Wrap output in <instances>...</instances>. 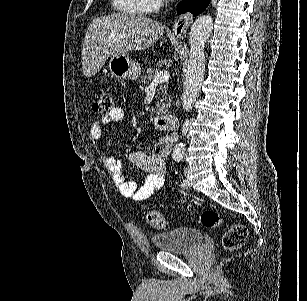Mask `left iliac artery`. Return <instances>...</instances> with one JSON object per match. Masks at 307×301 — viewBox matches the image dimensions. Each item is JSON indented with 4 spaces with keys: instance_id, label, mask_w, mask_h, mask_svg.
Instances as JSON below:
<instances>
[{
    "instance_id": "left-iliac-artery-1",
    "label": "left iliac artery",
    "mask_w": 307,
    "mask_h": 301,
    "mask_svg": "<svg viewBox=\"0 0 307 301\" xmlns=\"http://www.w3.org/2000/svg\"><path fill=\"white\" fill-rule=\"evenodd\" d=\"M178 162L181 160L180 158H177L176 159ZM187 185V181L186 180H183V182L181 183V186L182 187H185Z\"/></svg>"
}]
</instances>
